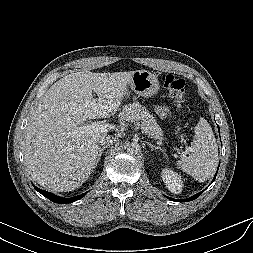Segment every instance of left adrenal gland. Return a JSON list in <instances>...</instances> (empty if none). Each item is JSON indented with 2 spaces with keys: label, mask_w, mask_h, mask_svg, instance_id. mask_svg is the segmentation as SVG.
<instances>
[{
  "label": "left adrenal gland",
  "mask_w": 253,
  "mask_h": 253,
  "mask_svg": "<svg viewBox=\"0 0 253 253\" xmlns=\"http://www.w3.org/2000/svg\"><path fill=\"white\" fill-rule=\"evenodd\" d=\"M146 143L151 148V151H154V150H161V151H163L162 148L159 147V146H155V145L151 144L150 142H146Z\"/></svg>",
  "instance_id": "obj_1"
}]
</instances>
